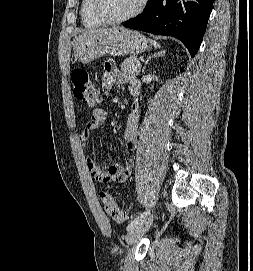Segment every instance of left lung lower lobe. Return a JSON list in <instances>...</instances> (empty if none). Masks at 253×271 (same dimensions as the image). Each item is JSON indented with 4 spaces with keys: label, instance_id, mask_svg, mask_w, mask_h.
<instances>
[{
    "label": "left lung lower lobe",
    "instance_id": "0a47b994",
    "mask_svg": "<svg viewBox=\"0 0 253 271\" xmlns=\"http://www.w3.org/2000/svg\"><path fill=\"white\" fill-rule=\"evenodd\" d=\"M214 0H149L144 12L124 24L127 28L173 36L197 53Z\"/></svg>",
    "mask_w": 253,
    "mask_h": 271
}]
</instances>
